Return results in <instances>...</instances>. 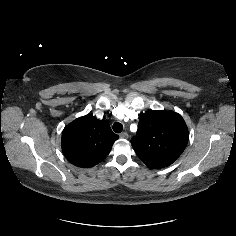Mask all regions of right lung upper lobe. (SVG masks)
I'll return each mask as SVG.
<instances>
[{
    "label": "right lung upper lobe",
    "mask_w": 236,
    "mask_h": 236,
    "mask_svg": "<svg viewBox=\"0 0 236 236\" xmlns=\"http://www.w3.org/2000/svg\"><path fill=\"white\" fill-rule=\"evenodd\" d=\"M119 138L105 120L93 115L77 118L62 132V151L72 164L88 168L101 162Z\"/></svg>",
    "instance_id": "right-lung-upper-lobe-1"
}]
</instances>
